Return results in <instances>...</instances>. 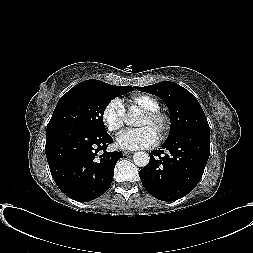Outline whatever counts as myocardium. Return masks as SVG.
Listing matches in <instances>:
<instances>
[{
	"label": "myocardium",
	"instance_id": "1",
	"mask_svg": "<svg viewBox=\"0 0 253 253\" xmlns=\"http://www.w3.org/2000/svg\"><path fill=\"white\" fill-rule=\"evenodd\" d=\"M147 116L157 127L160 139L165 138L171 129L170 116L161 110L144 111Z\"/></svg>",
	"mask_w": 253,
	"mask_h": 253
}]
</instances>
